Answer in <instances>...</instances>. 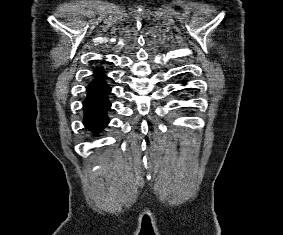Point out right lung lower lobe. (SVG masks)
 <instances>
[{
  "mask_svg": "<svg viewBox=\"0 0 283 235\" xmlns=\"http://www.w3.org/2000/svg\"><path fill=\"white\" fill-rule=\"evenodd\" d=\"M104 72L95 73V79L87 87V98L83 103L86 128L93 132L102 130L108 123L107 111L111 106L108 94L111 88L104 82Z\"/></svg>",
  "mask_w": 283,
  "mask_h": 235,
  "instance_id": "1",
  "label": "right lung lower lobe"
}]
</instances>
